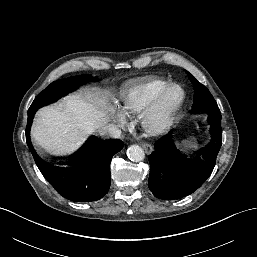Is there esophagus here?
<instances>
[{
	"label": "esophagus",
	"mask_w": 257,
	"mask_h": 257,
	"mask_svg": "<svg viewBox=\"0 0 257 257\" xmlns=\"http://www.w3.org/2000/svg\"><path fill=\"white\" fill-rule=\"evenodd\" d=\"M141 146L147 154H150L153 151V147L150 144L143 143Z\"/></svg>",
	"instance_id": "1"
}]
</instances>
